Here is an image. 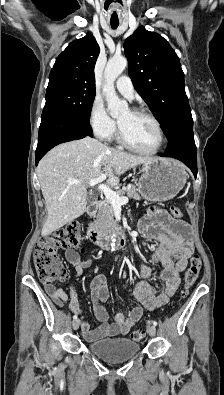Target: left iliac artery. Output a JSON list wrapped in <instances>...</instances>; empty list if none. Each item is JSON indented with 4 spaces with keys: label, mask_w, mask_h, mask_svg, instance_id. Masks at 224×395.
Returning a JSON list of instances; mask_svg holds the SVG:
<instances>
[{
    "label": "left iliac artery",
    "mask_w": 224,
    "mask_h": 395,
    "mask_svg": "<svg viewBox=\"0 0 224 395\" xmlns=\"http://www.w3.org/2000/svg\"><path fill=\"white\" fill-rule=\"evenodd\" d=\"M152 324H153L154 326H157V322H156V321H152Z\"/></svg>",
    "instance_id": "44dca946"
}]
</instances>
